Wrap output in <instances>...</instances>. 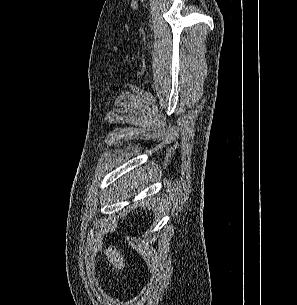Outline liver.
Wrapping results in <instances>:
<instances>
[{
    "instance_id": "obj_1",
    "label": "liver",
    "mask_w": 297,
    "mask_h": 305,
    "mask_svg": "<svg viewBox=\"0 0 297 305\" xmlns=\"http://www.w3.org/2000/svg\"><path fill=\"white\" fill-rule=\"evenodd\" d=\"M132 182L136 185V179L134 180L133 178ZM105 255L107 256L109 262L113 265L114 268L118 269V270H123V268L125 267V259L124 256L120 254V250H116V248L114 247V249H112V246L109 247L108 249H106L105 251Z\"/></svg>"
}]
</instances>
